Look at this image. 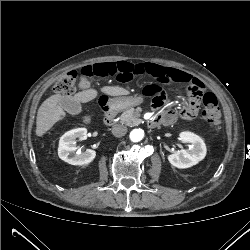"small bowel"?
<instances>
[{"label": "small bowel", "mask_w": 250, "mask_h": 250, "mask_svg": "<svg viewBox=\"0 0 250 250\" xmlns=\"http://www.w3.org/2000/svg\"><path fill=\"white\" fill-rule=\"evenodd\" d=\"M141 65L145 67L147 72L160 78L162 82H176L196 91L194 100H192L181 112V116L184 119L193 118L197 111L198 99L203 95V88L200 81L190 74L177 69L167 68L156 63L147 62ZM81 83L85 85L86 80L81 78ZM165 103L166 93L161 90L158 93V97L153 99V117L158 116L165 125H172L177 120V114L171 109L164 110Z\"/></svg>", "instance_id": "obj_1"}]
</instances>
